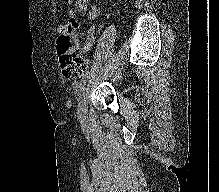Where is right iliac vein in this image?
<instances>
[{"label": "right iliac vein", "mask_w": 219, "mask_h": 192, "mask_svg": "<svg viewBox=\"0 0 219 192\" xmlns=\"http://www.w3.org/2000/svg\"><path fill=\"white\" fill-rule=\"evenodd\" d=\"M87 113L86 102L84 98V92L81 95V101L78 104V117L81 121L85 120Z\"/></svg>", "instance_id": "63e3f726"}]
</instances>
